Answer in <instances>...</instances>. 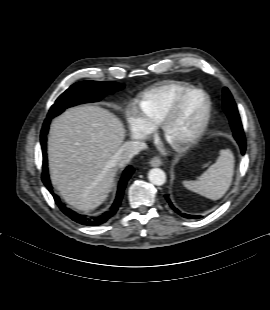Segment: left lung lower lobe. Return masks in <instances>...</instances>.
I'll return each mask as SVG.
<instances>
[{
    "label": "left lung lower lobe",
    "instance_id": "0a47b994",
    "mask_svg": "<svg viewBox=\"0 0 270 310\" xmlns=\"http://www.w3.org/2000/svg\"><path fill=\"white\" fill-rule=\"evenodd\" d=\"M237 143L239 144L240 146V149H241V153L244 154L245 153V148H246V144H245V137L244 135L241 136H237L235 137ZM166 201L168 202V204L170 205V207L175 211L177 212L178 214H180L181 216L185 217V218H200V216H193V215H189V214H183L181 213L177 208L174 207V205L172 204L170 198H169V195H165L164 196Z\"/></svg>",
    "mask_w": 270,
    "mask_h": 310
}]
</instances>
